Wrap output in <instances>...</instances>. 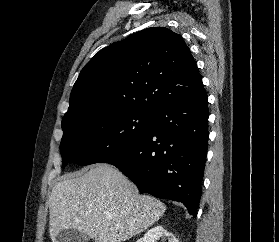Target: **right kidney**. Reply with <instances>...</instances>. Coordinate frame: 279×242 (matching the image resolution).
<instances>
[{"instance_id": "obj_1", "label": "right kidney", "mask_w": 279, "mask_h": 242, "mask_svg": "<svg viewBox=\"0 0 279 242\" xmlns=\"http://www.w3.org/2000/svg\"><path fill=\"white\" fill-rule=\"evenodd\" d=\"M160 238H167L168 242H178L176 237L164 229L162 225H156L149 229L137 242H157Z\"/></svg>"}]
</instances>
